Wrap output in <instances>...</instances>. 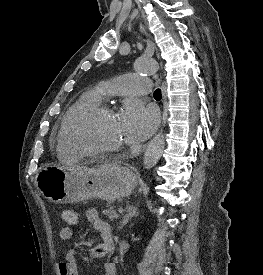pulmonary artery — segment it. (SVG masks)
<instances>
[{
    "mask_svg": "<svg viewBox=\"0 0 263 275\" xmlns=\"http://www.w3.org/2000/svg\"><path fill=\"white\" fill-rule=\"evenodd\" d=\"M151 90L149 79L135 74H125L104 83L99 92L104 96H138L146 95Z\"/></svg>",
    "mask_w": 263,
    "mask_h": 275,
    "instance_id": "obj_1",
    "label": "pulmonary artery"
}]
</instances>
